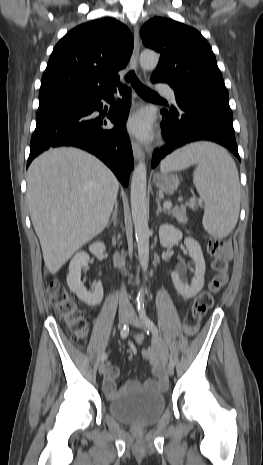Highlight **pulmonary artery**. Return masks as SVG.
<instances>
[{"instance_id":"e3ab8cb5","label":"pulmonary artery","mask_w":263,"mask_h":465,"mask_svg":"<svg viewBox=\"0 0 263 465\" xmlns=\"http://www.w3.org/2000/svg\"><path fill=\"white\" fill-rule=\"evenodd\" d=\"M159 91H161L170 101L175 102L176 96L174 90L169 86H159Z\"/></svg>"}]
</instances>
